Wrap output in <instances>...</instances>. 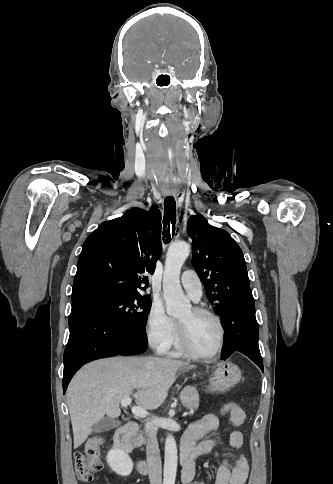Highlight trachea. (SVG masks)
I'll use <instances>...</instances> for the list:
<instances>
[{
  "mask_svg": "<svg viewBox=\"0 0 333 484\" xmlns=\"http://www.w3.org/2000/svg\"><path fill=\"white\" fill-rule=\"evenodd\" d=\"M165 142H164V147H163V152L165 154V157L168 158V165L172 166L173 165V157H174V150L171 149V142H172V133L171 132H166L165 133ZM181 221V218H180ZM176 202L175 199L172 197V193L168 192L167 197L164 200V217H163V241H165V244L169 243L171 241V236L173 237L175 235L176 231ZM178 231V230H177Z\"/></svg>",
  "mask_w": 333,
  "mask_h": 484,
  "instance_id": "obj_1",
  "label": "trachea"
}]
</instances>
